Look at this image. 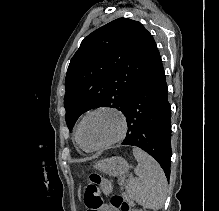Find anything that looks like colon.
Returning a JSON list of instances; mask_svg holds the SVG:
<instances>
[{"instance_id": "1", "label": "colon", "mask_w": 219, "mask_h": 211, "mask_svg": "<svg viewBox=\"0 0 219 211\" xmlns=\"http://www.w3.org/2000/svg\"><path fill=\"white\" fill-rule=\"evenodd\" d=\"M90 182L101 187L104 193L111 192V183L104 179L98 172H92L89 176ZM111 205L120 211H131V205L120 195L110 197Z\"/></svg>"}]
</instances>
